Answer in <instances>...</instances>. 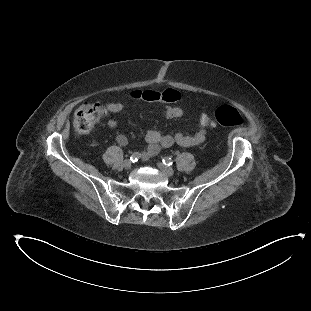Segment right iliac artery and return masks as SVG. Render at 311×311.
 Here are the masks:
<instances>
[{
    "instance_id": "82829eb1",
    "label": "right iliac artery",
    "mask_w": 311,
    "mask_h": 311,
    "mask_svg": "<svg viewBox=\"0 0 311 311\" xmlns=\"http://www.w3.org/2000/svg\"><path fill=\"white\" fill-rule=\"evenodd\" d=\"M141 154L139 152H135L130 156V161L136 162L140 159Z\"/></svg>"
}]
</instances>
